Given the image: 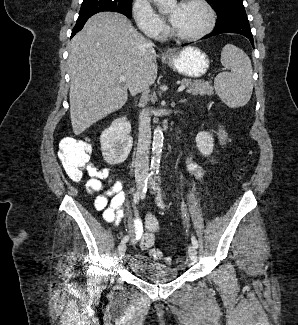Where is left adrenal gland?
<instances>
[{"mask_svg":"<svg viewBox=\"0 0 298 325\" xmlns=\"http://www.w3.org/2000/svg\"><path fill=\"white\" fill-rule=\"evenodd\" d=\"M187 98H180L179 102H186Z\"/></svg>","mask_w":298,"mask_h":325,"instance_id":"1","label":"left adrenal gland"}]
</instances>
